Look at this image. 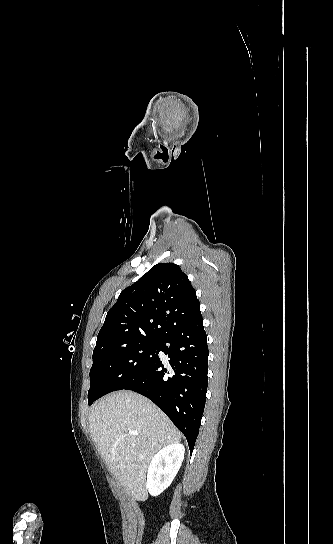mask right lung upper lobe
<instances>
[{
    "mask_svg": "<svg viewBox=\"0 0 333 544\" xmlns=\"http://www.w3.org/2000/svg\"><path fill=\"white\" fill-rule=\"evenodd\" d=\"M199 315L196 291L181 268L174 263L156 264L121 292L107 313L93 355L138 339L159 340Z\"/></svg>",
    "mask_w": 333,
    "mask_h": 544,
    "instance_id": "right-lung-upper-lobe-1",
    "label": "right lung upper lobe"
}]
</instances>
